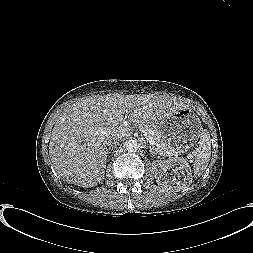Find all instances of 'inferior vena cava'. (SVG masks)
I'll use <instances>...</instances> for the list:
<instances>
[{"instance_id":"602c4592","label":"inferior vena cava","mask_w":253,"mask_h":253,"mask_svg":"<svg viewBox=\"0 0 253 253\" xmlns=\"http://www.w3.org/2000/svg\"><path fill=\"white\" fill-rule=\"evenodd\" d=\"M120 140L121 139H119V138H113V142L109 141L108 145H110V146H114L115 145L116 146V144H118Z\"/></svg>"}]
</instances>
